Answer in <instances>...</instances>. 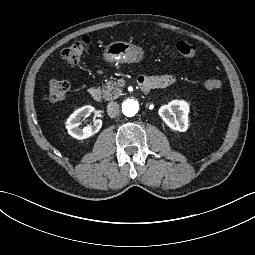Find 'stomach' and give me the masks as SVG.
<instances>
[{
  "mask_svg": "<svg viewBox=\"0 0 255 255\" xmlns=\"http://www.w3.org/2000/svg\"><path fill=\"white\" fill-rule=\"evenodd\" d=\"M145 59L143 48L125 41L109 43L102 52V60L108 63L132 64Z\"/></svg>",
  "mask_w": 255,
  "mask_h": 255,
  "instance_id": "stomach-1",
  "label": "stomach"
}]
</instances>
